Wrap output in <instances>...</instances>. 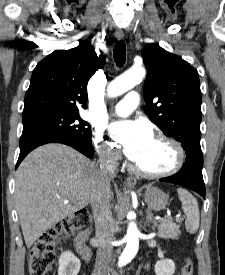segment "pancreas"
Returning a JSON list of instances; mask_svg holds the SVG:
<instances>
[{
	"instance_id": "1",
	"label": "pancreas",
	"mask_w": 225,
	"mask_h": 275,
	"mask_svg": "<svg viewBox=\"0 0 225 275\" xmlns=\"http://www.w3.org/2000/svg\"><path fill=\"white\" fill-rule=\"evenodd\" d=\"M181 234L179 225L172 221H160L158 225V236L165 239H175Z\"/></svg>"
}]
</instances>
